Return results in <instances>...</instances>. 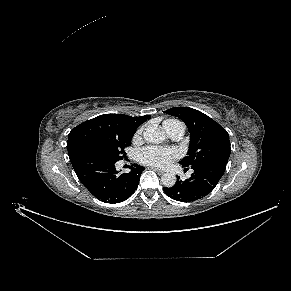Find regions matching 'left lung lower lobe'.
<instances>
[{"label": "left lung lower lobe", "instance_id": "left-lung-lower-lobe-1", "mask_svg": "<svg viewBox=\"0 0 291 291\" xmlns=\"http://www.w3.org/2000/svg\"><path fill=\"white\" fill-rule=\"evenodd\" d=\"M190 168L193 169V173L189 179L181 181L177 177L173 187L163 188L170 198L181 202H193L207 196L222 177L226 164L199 163Z\"/></svg>", "mask_w": 291, "mask_h": 291}]
</instances>
